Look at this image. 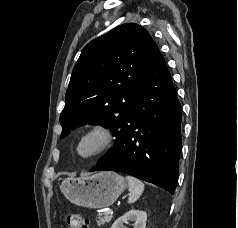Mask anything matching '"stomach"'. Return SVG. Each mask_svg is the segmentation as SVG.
I'll use <instances>...</instances> for the list:
<instances>
[{"instance_id":"obj_1","label":"stomach","mask_w":238,"mask_h":228,"mask_svg":"<svg viewBox=\"0 0 238 228\" xmlns=\"http://www.w3.org/2000/svg\"><path fill=\"white\" fill-rule=\"evenodd\" d=\"M126 187L124 177L113 171L68 177L60 185L62 193L71 203L86 208L109 207Z\"/></svg>"}]
</instances>
